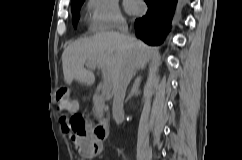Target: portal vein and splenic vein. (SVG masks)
Here are the masks:
<instances>
[{
    "instance_id": "obj_1",
    "label": "portal vein and splenic vein",
    "mask_w": 242,
    "mask_h": 160,
    "mask_svg": "<svg viewBox=\"0 0 242 160\" xmlns=\"http://www.w3.org/2000/svg\"><path fill=\"white\" fill-rule=\"evenodd\" d=\"M86 66L88 68H91V69H95L96 68V66L92 65V64H87ZM102 74H103V78H104L102 93L106 94V93H108L111 90L112 84H111V79H110V76H109L108 72L103 69L102 70Z\"/></svg>"
}]
</instances>
